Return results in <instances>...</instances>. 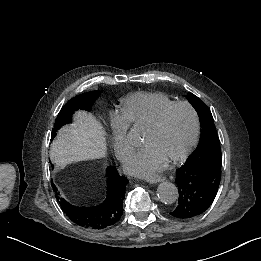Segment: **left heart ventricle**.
<instances>
[{
  "label": "left heart ventricle",
  "instance_id": "obj_1",
  "mask_svg": "<svg viewBox=\"0 0 261 261\" xmlns=\"http://www.w3.org/2000/svg\"><path fill=\"white\" fill-rule=\"evenodd\" d=\"M193 129L192 114L180 107L165 110L153 124H137L141 142L152 145L163 159L181 152Z\"/></svg>",
  "mask_w": 261,
  "mask_h": 261
}]
</instances>
